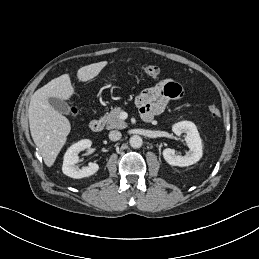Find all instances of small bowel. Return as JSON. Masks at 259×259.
<instances>
[{"label": "small bowel", "mask_w": 259, "mask_h": 259, "mask_svg": "<svg viewBox=\"0 0 259 259\" xmlns=\"http://www.w3.org/2000/svg\"><path fill=\"white\" fill-rule=\"evenodd\" d=\"M182 93L181 85L167 78L140 92L136 96L135 103L141 116L147 120L164 112L170 102L180 98Z\"/></svg>", "instance_id": "small-bowel-1"}]
</instances>
